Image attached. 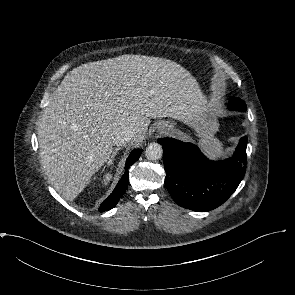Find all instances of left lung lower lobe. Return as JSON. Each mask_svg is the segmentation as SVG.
Segmentation results:
<instances>
[{"mask_svg":"<svg viewBox=\"0 0 295 295\" xmlns=\"http://www.w3.org/2000/svg\"><path fill=\"white\" fill-rule=\"evenodd\" d=\"M158 143L163 147L166 188L184 208L215 209L233 194L244 177L246 136L240 139L233 157L224 161H210L196 145L173 138L159 139Z\"/></svg>","mask_w":295,"mask_h":295,"instance_id":"left-lung-lower-lobe-1","label":"left lung lower lobe"}]
</instances>
